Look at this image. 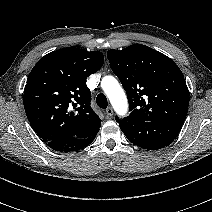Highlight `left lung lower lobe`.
Wrapping results in <instances>:
<instances>
[{
    "instance_id": "0a47b994",
    "label": "left lung lower lobe",
    "mask_w": 212,
    "mask_h": 212,
    "mask_svg": "<svg viewBox=\"0 0 212 212\" xmlns=\"http://www.w3.org/2000/svg\"><path fill=\"white\" fill-rule=\"evenodd\" d=\"M181 126L180 123L169 121H141L120 128L134 145L147 150H158L173 142Z\"/></svg>"
}]
</instances>
